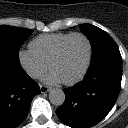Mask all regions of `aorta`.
<instances>
[{"mask_svg": "<svg viewBox=\"0 0 128 128\" xmlns=\"http://www.w3.org/2000/svg\"><path fill=\"white\" fill-rule=\"evenodd\" d=\"M49 100L55 106H61L65 101V94L62 89L54 88L49 92Z\"/></svg>", "mask_w": 128, "mask_h": 128, "instance_id": "762f6f07", "label": "aorta"}]
</instances>
